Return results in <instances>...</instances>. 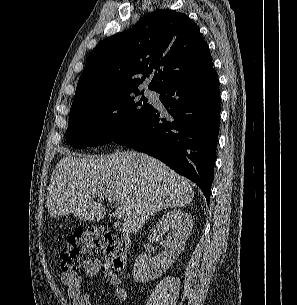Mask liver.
<instances>
[{
	"mask_svg": "<svg viewBox=\"0 0 297 305\" xmlns=\"http://www.w3.org/2000/svg\"><path fill=\"white\" fill-rule=\"evenodd\" d=\"M109 193L124 207V228L137 233L156 212L184 207L194 198L188 180L164 163L134 151L78 157L68 153L55 166L46 203L50 216L69 212L99 221L106 207L93 198Z\"/></svg>",
	"mask_w": 297,
	"mask_h": 305,
	"instance_id": "1",
	"label": "liver"
}]
</instances>
